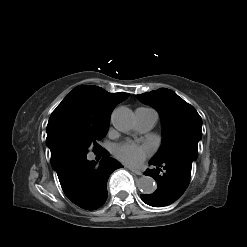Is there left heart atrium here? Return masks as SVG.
Listing matches in <instances>:
<instances>
[{"label": "left heart atrium", "mask_w": 247, "mask_h": 247, "mask_svg": "<svg viewBox=\"0 0 247 247\" xmlns=\"http://www.w3.org/2000/svg\"><path fill=\"white\" fill-rule=\"evenodd\" d=\"M114 152L116 157L122 162L131 166H137L151 152V148L147 145L127 141L118 144Z\"/></svg>", "instance_id": "39dd6f15"}]
</instances>
